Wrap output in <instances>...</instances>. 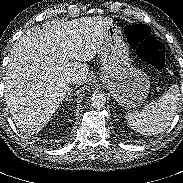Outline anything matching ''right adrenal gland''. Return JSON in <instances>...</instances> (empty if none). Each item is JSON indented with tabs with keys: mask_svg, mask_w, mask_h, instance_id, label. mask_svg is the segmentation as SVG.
Wrapping results in <instances>:
<instances>
[{
	"mask_svg": "<svg viewBox=\"0 0 183 183\" xmlns=\"http://www.w3.org/2000/svg\"><path fill=\"white\" fill-rule=\"evenodd\" d=\"M73 91H74V88L73 87H70L69 88V91H68V93L66 95V98H65L66 101H71L72 100L71 97H72Z\"/></svg>",
	"mask_w": 183,
	"mask_h": 183,
	"instance_id": "right-adrenal-gland-1",
	"label": "right adrenal gland"
}]
</instances>
